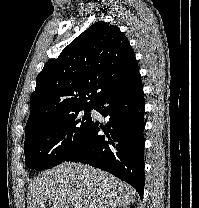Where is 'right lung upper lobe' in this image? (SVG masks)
Returning <instances> with one entry per match:
<instances>
[{
  "instance_id": "cb5924a9",
  "label": "right lung upper lobe",
  "mask_w": 199,
  "mask_h": 208,
  "mask_svg": "<svg viewBox=\"0 0 199 208\" xmlns=\"http://www.w3.org/2000/svg\"><path fill=\"white\" fill-rule=\"evenodd\" d=\"M138 75L137 60L125 35L117 26L95 23L37 76L25 135L76 109L93 106Z\"/></svg>"
}]
</instances>
